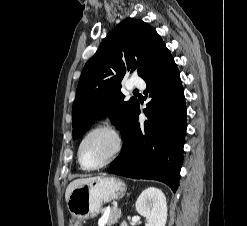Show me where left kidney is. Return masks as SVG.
Segmentation results:
<instances>
[{"mask_svg": "<svg viewBox=\"0 0 247 226\" xmlns=\"http://www.w3.org/2000/svg\"><path fill=\"white\" fill-rule=\"evenodd\" d=\"M136 211L146 218L147 226H165L167 202L164 193L155 187L145 189L136 201Z\"/></svg>", "mask_w": 247, "mask_h": 226, "instance_id": "1", "label": "left kidney"}]
</instances>
